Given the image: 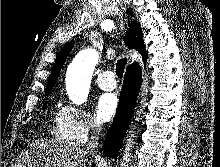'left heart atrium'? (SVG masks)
<instances>
[{"instance_id": "obj_1", "label": "left heart atrium", "mask_w": 220, "mask_h": 167, "mask_svg": "<svg viewBox=\"0 0 220 167\" xmlns=\"http://www.w3.org/2000/svg\"><path fill=\"white\" fill-rule=\"evenodd\" d=\"M118 106L117 97L111 93L99 96L96 103V117L101 123L108 122L115 114Z\"/></svg>"}]
</instances>
